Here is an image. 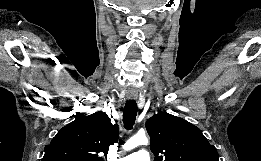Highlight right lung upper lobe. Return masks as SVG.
<instances>
[{
  "instance_id": "1",
  "label": "right lung upper lobe",
  "mask_w": 261,
  "mask_h": 161,
  "mask_svg": "<svg viewBox=\"0 0 261 161\" xmlns=\"http://www.w3.org/2000/svg\"><path fill=\"white\" fill-rule=\"evenodd\" d=\"M117 139V124L112 125L106 113L96 112L60 129L41 161H103L98 154H107Z\"/></svg>"
}]
</instances>
